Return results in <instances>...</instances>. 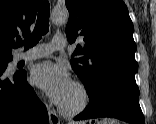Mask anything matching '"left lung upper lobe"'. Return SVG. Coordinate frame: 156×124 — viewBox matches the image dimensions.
Returning a JSON list of instances; mask_svg holds the SVG:
<instances>
[{
    "instance_id": "5c2ea615",
    "label": "left lung upper lobe",
    "mask_w": 156,
    "mask_h": 124,
    "mask_svg": "<svg viewBox=\"0 0 156 124\" xmlns=\"http://www.w3.org/2000/svg\"><path fill=\"white\" fill-rule=\"evenodd\" d=\"M70 17L66 36L70 43L82 37L71 65L89 97L119 86L139 93L135 81L134 27L122 0H65Z\"/></svg>"
}]
</instances>
